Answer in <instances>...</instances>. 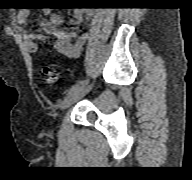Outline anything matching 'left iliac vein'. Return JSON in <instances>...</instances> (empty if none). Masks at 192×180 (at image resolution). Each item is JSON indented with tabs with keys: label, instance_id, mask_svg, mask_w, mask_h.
Segmentation results:
<instances>
[{
	"label": "left iliac vein",
	"instance_id": "left-iliac-vein-1",
	"mask_svg": "<svg viewBox=\"0 0 192 180\" xmlns=\"http://www.w3.org/2000/svg\"><path fill=\"white\" fill-rule=\"evenodd\" d=\"M91 87L92 85H83L80 86L78 89L68 93V95L64 98L62 102V109L66 110L67 108H69L73 103H75L80 98H82L86 93H88Z\"/></svg>",
	"mask_w": 192,
	"mask_h": 180
}]
</instances>
